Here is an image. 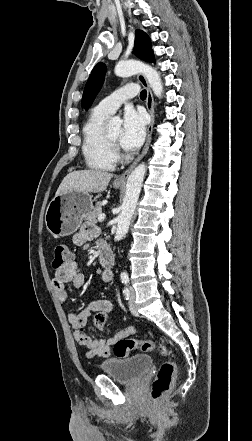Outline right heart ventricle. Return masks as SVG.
Returning <instances> with one entry per match:
<instances>
[{
  "label": "right heart ventricle",
  "mask_w": 252,
  "mask_h": 441,
  "mask_svg": "<svg viewBox=\"0 0 252 441\" xmlns=\"http://www.w3.org/2000/svg\"><path fill=\"white\" fill-rule=\"evenodd\" d=\"M107 117L94 110L82 128V154L87 167L96 171H113L116 166V156L105 140Z\"/></svg>",
  "instance_id": "e07e8e85"
}]
</instances>
